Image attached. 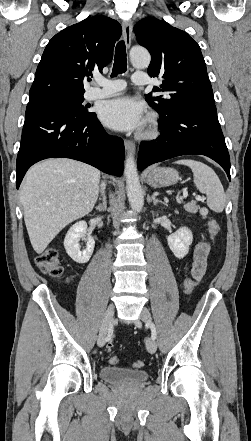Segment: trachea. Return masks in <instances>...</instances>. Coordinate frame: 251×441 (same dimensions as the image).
Segmentation results:
<instances>
[{
	"label": "trachea",
	"instance_id": "obj_1",
	"mask_svg": "<svg viewBox=\"0 0 251 441\" xmlns=\"http://www.w3.org/2000/svg\"><path fill=\"white\" fill-rule=\"evenodd\" d=\"M127 70L126 46L124 41L117 43L115 48V58L113 65L112 77L125 73Z\"/></svg>",
	"mask_w": 251,
	"mask_h": 441
}]
</instances>
